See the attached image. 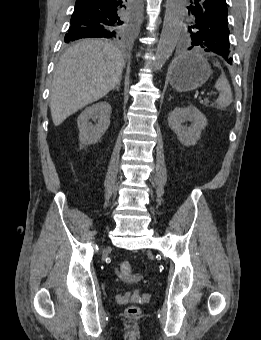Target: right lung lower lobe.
Wrapping results in <instances>:
<instances>
[{"instance_id":"obj_1","label":"right lung lower lobe","mask_w":261,"mask_h":340,"mask_svg":"<svg viewBox=\"0 0 261 340\" xmlns=\"http://www.w3.org/2000/svg\"><path fill=\"white\" fill-rule=\"evenodd\" d=\"M130 0H76L68 33L102 37L108 27L121 19Z\"/></svg>"}]
</instances>
